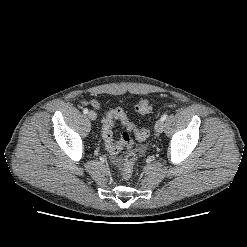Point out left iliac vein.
<instances>
[{
  "instance_id": "1",
  "label": "left iliac vein",
  "mask_w": 247,
  "mask_h": 247,
  "mask_svg": "<svg viewBox=\"0 0 247 247\" xmlns=\"http://www.w3.org/2000/svg\"><path fill=\"white\" fill-rule=\"evenodd\" d=\"M163 128H164V124H163V121L160 119L155 124V131H156V133L157 134L162 133Z\"/></svg>"
}]
</instances>
